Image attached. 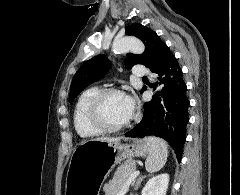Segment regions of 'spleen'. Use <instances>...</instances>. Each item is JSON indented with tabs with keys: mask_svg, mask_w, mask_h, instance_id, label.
Returning <instances> with one entry per match:
<instances>
[{
	"mask_svg": "<svg viewBox=\"0 0 240 195\" xmlns=\"http://www.w3.org/2000/svg\"><path fill=\"white\" fill-rule=\"evenodd\" d=\"M149 143V153L145 161V167L150 173L159 171L161 167H164L168 157V143L161 137H155V135H149L146 137Z\"/></svg>",
	"mask_w": 240,
	"mask_h": 195,
	"instance_id": "3e777b00",
	"label": "spleen"
}]
</instances>
